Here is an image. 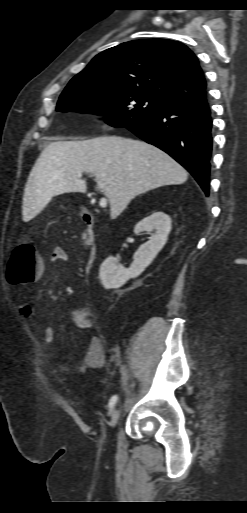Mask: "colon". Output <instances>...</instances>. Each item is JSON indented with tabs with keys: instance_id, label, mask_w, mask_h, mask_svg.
I'll list each match as a JSON object with an SVG mask.
<instances>
[{
	"instance_id": "5ec220e1",
	"label": "colon",
	"mask_w": 247,
	"mask_h": 513,
	"mask_svg": "<svg viewBox=\"0 0 247 513\" xmlns=\"http://www.w3.org/2000/svg\"><path fill=\"white\" fill-rule=\"evenodd\" d=\"M41 271L42 266L34 246L29 243H20L11 253L6 278L12 285H24L33 283Z\"/></svg>"
}]
</instances>
